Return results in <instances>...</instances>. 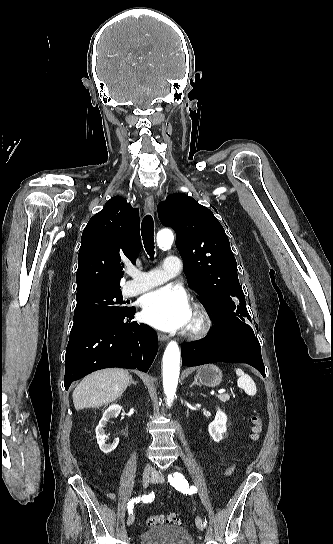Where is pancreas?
Wrapping results in <instances>:
<instances>
[{"instance_id":"obj_1","label":"pancreas","mask_w":333,"mask_h":544,"mask_svg":"<svg viewBox=\"0 0 333 544\" xmlns=\"http://www.w3.org/2000/svg\"><path fill=\"white\" fill-rule=\"evenodd\" d=\"M218 398H219L220 401L225 403V402L229 401L230 396L228 394H222V395H219Z\"/></svg>"}]
</instances>
